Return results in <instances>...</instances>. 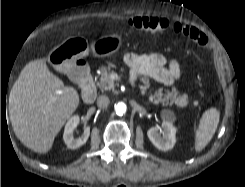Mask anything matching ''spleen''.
Wrapping results in <instances>:
<instances>
[{"instance_id":"spleen-1","label":"spleen","mask_w":245,"mask_h":187,"mask_svg":"<svg viewBox=\"0 0 245 187\" xmlns=\"http://www.w3.org/2000/svg\"><path fill=\"white\" fill-rule=\"evenodd\" d=\"M219 119L220 113L216 108H210L203 113L198 128L195 129V151L200 152L207 146L215 134Z\"/></svg>"}]
</instances>
